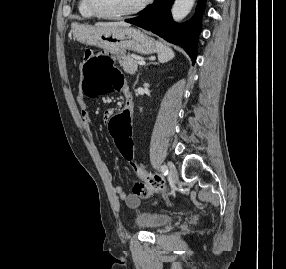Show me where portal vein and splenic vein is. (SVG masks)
Returning a JSON list of instances; mask_svg holds the SVG:
<instances>
[{
	"label": "portal vein and splenic vein",
	"mask_w": 286,
	"mask_h": 269,
	"mask_svg": "<svg viewBox=\"0 0 286 269\" xmlns=\"http://www.w3.org/2000/svg\"><path fill=\"white\" fill-rule=\"evenodd\" d=\"M138 64H139V65H145V61H144V60H139V61H138Z\"/></svg>",
	"instance_id": "obj_1"
}]
</instances>
